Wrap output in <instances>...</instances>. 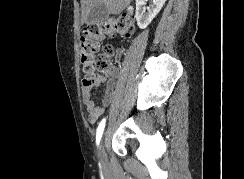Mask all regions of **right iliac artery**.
<instances>
[{
    "mask_svg": "<svg viewBox=\"0 0 244 179\" xmlns=\"http://www.w3.org/2000/svg\"><path fill=\"white\" fill-rule=\"evenodd\" d=\"M105 119H103L98 128H97V134H96V142H97V145H99V142L101 140V137H102V134H103V131H104V127H105Z\"/></svg>",
    "mask_w": 244,
    "mask_h": 179,
    "instance_id": "82829eb1",
    "label": "right iliac artery"
}]
</instances>
